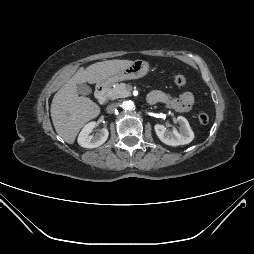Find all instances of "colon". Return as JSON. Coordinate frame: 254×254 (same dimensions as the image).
I'll list each match as a JSON object with an SVG mask.
<instances>
[{
  "instance_id": "1",
  "label": "colon",
  "mask_w": 254,
  "mask_h": 254,
  "mask_svg": "<svg viewBox=\"0 0 254 254\" xmlns=\"http://www.w3.org/2000/svg\"><path fill=\"white\" fill-rule=\"evenodd\" d=\"M173 81L176 85L182 86L187 83V77L184 74H176L173 77ZM198 120L202 124H207L209 121V116L206 113H199Z\"/></svg>"
}]
</instances>
